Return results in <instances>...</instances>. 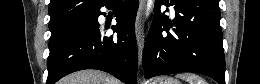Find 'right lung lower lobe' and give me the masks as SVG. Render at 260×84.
<instances>
[{"label": "right lung lower lobe", "mask_w": 260, "mask_h": 84, "mask_svg": "<svg viewBox=\"0 0 260 84\" xmlns=\"http://www.w3.org/2000/svg\"><path fill=\"white\" fill-rule=\"evenodd\" d=\"M103 6L115 7L117 24L112 29L117 32V38L104 36V29L99 28L98 17L102 14L99 9L91 26L72 32L50 49L47 84H54L62 77L83 69L108 72L125 84L137 83L134 23L139 0H108Z\"/></svg>", "instance_id": "98d812e1"}]
</instances>
